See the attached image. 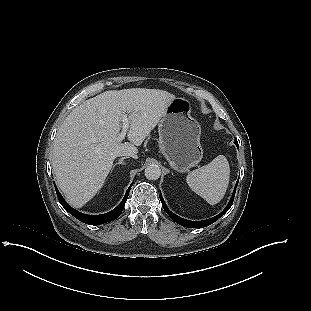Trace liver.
<instances>
[{"label":"liver","mask_w":311,"mask_h":311,"mask_svg":"<svg viewBox=\"0 0 311 311\" xmlns=\"http://www.w3.org/2000/svg\"><path fill=\"white\" fill-rule=\"evenodd\" d=\"M176 97L164 90L131 88L103 92L75 107L54 140L52 168L65 198L75 207L90 201L103 186L113 161L138 153ZM127 114L130 142L117 140Z\"/></svg>","instance_id":"6515ba94"}]
</instances>
